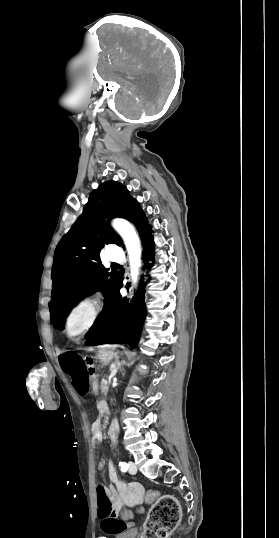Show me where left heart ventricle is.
I'll return each mask as SVG.
<instances>
[{"label": "left heart ventricle", "instance_id": "left-heart-ventricle-1", "mask_svg": "<svg viewBox=\"0 0 279 538\" xmlns=\"http://www.w3.org/2000/svg\"><path fill=\"white\" fill-rule=\"evenodd\" d=\"M85 319H86V313L85 312L80 313L75 320V327L76 328L79 327L85 321Z\"/></svg>", "mask_w": 279, "mask_h": 538}]
</instances>
